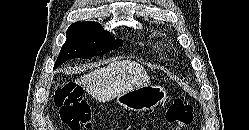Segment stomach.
<instances>
[{"instance_id":"0dacf381","label":"stomach","mask_w":249,"mask_h":130,"mask_svg":"<svg viewBox=\"0 0 249 130\" xmlns=\"http://www.w3.org/2000/svg\"><path fill=\"white\" fill-rule=\"evenodd\" d=\"M167 91L161 85H146L119 95L116 102L128 110L147 111L167 100Z\"/></svg>"}]
</instances>
